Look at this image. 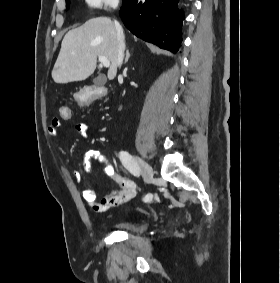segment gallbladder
Returning <instances> with one entry per match:
<instances>
[{"label": "gallbladder", "instance_id": "obj_1", "mask_svg": "<svg viewBox=\"0 0 280 283\" xmlns=\"http://www.w3.org/2000/svg\"><path fill=\"white\" fill-rule=\"evenodd\" d=\"M106 82V78L104 75H98L96 78L93 79V83L96 85V86H103Z\"/></svg>", "mask_w": 280, "mask_h": 283}]
</instances>
